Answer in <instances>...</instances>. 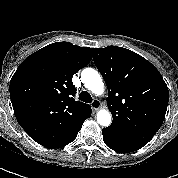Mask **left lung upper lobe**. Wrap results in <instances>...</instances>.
I'll use <instances>...</instances> for the list:
<instances>
[{
  "mask_svg": "<svg viewBox=\"0 0 178 178\" xmlns=\"http://www.w3.org/2000/svg\"><path fill=\"white\" fill-rule=\"evenodd\" d=\"M93 60L108 89L112 124L103 130L114 139L143 147L161 127L169 92L160 72L126 48H93Z\"/></svg>",
  "mask_w": 178,
  "mask_h": 178,
  "instance_id": "5c2ea615",
  "label": "left lung upper lobe"
}]
</instances>
